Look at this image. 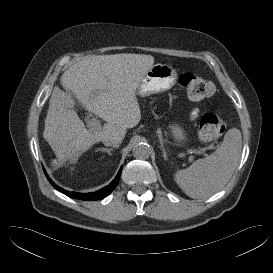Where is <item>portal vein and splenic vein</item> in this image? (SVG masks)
I'll return each instance as SVG.
<instances>
[{
    "label": "portal vein and splenic vein",
    "instance_id": "18ae733b",
    "mask_svg": "<svg viewBox=\"0 0 273 273\" xmlns=\"http://www.w3.org/2000/svg\"><path fill=\"white\" fill-rule=\"evenodd\" d=\"M100 128H101V125H100L99 121L96 118H93L91 120L90 130L96 131V130H99ZM197 152H199V151L193 150L191 153H197ZM205 156H207V154H205Z\"/></svg>",
    "mask_w": 273,
    "mask_h": 273
}]
</instances>
